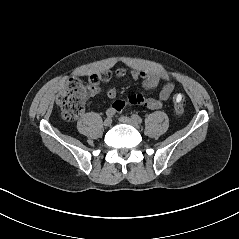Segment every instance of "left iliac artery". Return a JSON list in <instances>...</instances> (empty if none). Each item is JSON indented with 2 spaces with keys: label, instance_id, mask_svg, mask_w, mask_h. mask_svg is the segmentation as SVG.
<instances>
[{
  "label": "left iliac artery",
  "instance_id": "obj_1",
  "mask_svg": "<svg viewBox=\"0 0 239 239\" xmlns=\"http://www.w3.org/2000/svg\"><path fill=\"white\" fill-rule=\"evenodd\" d=\"M132 119H134L138 123H142V118L137 114H133Z\"/></svg>",
  "mask_w": 239,
  "mask_h": 239
}]
</instances>
